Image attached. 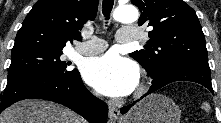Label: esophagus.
I'll return each instance as SVG.
<instances>
[{
  "mask_svg": "<svg viewBox=\"0 0 221 123\" xmlns=\"http://www.w3.org/2000/svg\"><path fill=\"white\" fill-rule=\"evenodd\" d=\"M108 112H109V120H110V122L111 123L116 122L118 117H119V110H118V108L109 105Z\"/></svg>",
  "mask_w": 221,
  "mask_h": 123,
  "instance_id": "esophagus-1",
  "label": "esophagus"
}]
</instances>
